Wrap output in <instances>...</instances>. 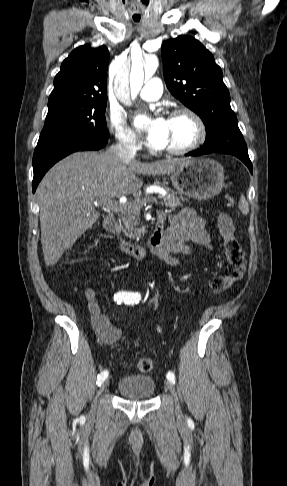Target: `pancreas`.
I'll use <instances>...</instances> for the list:
<instances>
[{
    "label": "pancreas",
    "instance_id": "pancreas-1",
    "mask_svg": "<svg viewBox=\"0 0 287 486\" xmlns=\"http://www.w3.org/2000/svg\"><path fill=\"white\" fill-rule=\"evenodd\" d=\"M161 199V204H164L170 210H174L176 207L181 206V201H185V198H179L167 190L166 196L159 195ZM145 198H140L139 195L136 196L134 201L125 204L123 208L119 211V231L130 239H139L144 235L145 229L138 228L139 226V213L141 208V201Z\"/></svg>",
    "mask_w": 287,
    "mask_h": 486
}]
</instances>
